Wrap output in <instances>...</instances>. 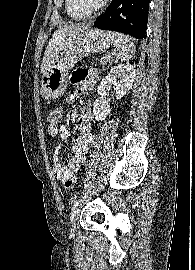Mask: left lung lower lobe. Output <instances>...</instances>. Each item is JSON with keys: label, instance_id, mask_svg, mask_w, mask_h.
Here are the masks:
<instances>
[{"label": "left lung lower lobe", "instance_id": "1", "mask_svg": "<svg viewBox=\"0 0 195 270\" xmlns=\"http://www.w3.org/2000/svg\"><path fill=\"white\" fill-rule=\"evenodd\" d=\"M150 0H112L94 26L129 34L137 39L145 37Z\"/></svg>", "mask_w": 195, "mask_h": 270}]
</instances>
